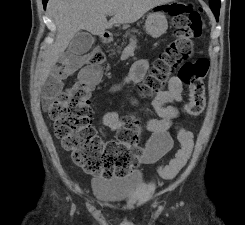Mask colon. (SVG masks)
Masks as SVG:
<instances>
[{
	"mask_svg": "<svg viewBox=\"0 0 245 225\" xmlns=\"http://www.w3.org/2000/svg\"><path fill=\"white\" fill-rule=\"evenodd\" d=\"M171 11L174 14V40L154 62L146 79L137 87L143 95L159 92L169 74L180 67L179 77L190 88L185 112L196 116L205 107L203 79L209 68L204 59L189 60L194 51L193 39L200 38L203 34L200 12L193 4L175 5ZM83 57H87L94 65L104 60V54L98 50L68 57L47 82L48 91L56 95L49 112L54 122L55 135L71 153L75 164L86 172L107 178L123 176L134 165V156L143 152L145 131L135 119L118 131L116 141L101 145L92 125L91 89L88 84L90 73L84 72L74 82L64 86V82L75 74ZM181 140V147L174 158L160 167L164 178H175L190 157L192 137L185 133Z\"/></svg>",
	"mask_w": 245,
	"mask_h": 225,
	"instance_id": "5ec220e1",
	"label": "colon"
}]
</instances>
